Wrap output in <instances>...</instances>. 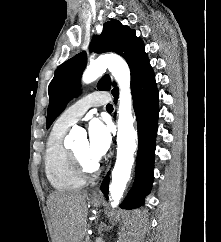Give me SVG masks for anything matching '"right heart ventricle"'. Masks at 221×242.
I'll return each instance as SVG.
<instances>
[{
  "label": "right heart ventricle",
  "mask_w": 221,
  "mask_h": 242,
  "mask_svg": "<svg viewBox=\"0 0 221 242\" xmlns=\"http://www.w3.org/2000/svg\"><path fill=\"white\" fill-rule=\"evenodd\" d=\"M67 129L54 125L44 152V170L50 185L58 191H70L84 186L86 180L74 169L70 151L63 145Z\"/></svg>",
  "instance_id": "obj_1"
}]
</instances>
